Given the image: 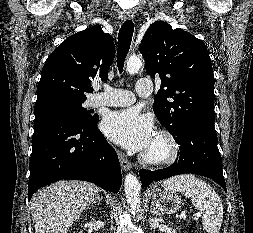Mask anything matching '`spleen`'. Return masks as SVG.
<instances>
[{
    "label": "spleen",
    "instance_id": "1",
    "mask_svg": "<svg viewBox=\"0 0 253 233\" xmlns=\"http://www.w3.org/2000/svg\"><path fill=\"white\" fill-rule=\"evenodd\" d=\"M162 186L190 198L192 204L203 213V228L208 233H219L223 220V205L209 184L192 174H184L166 180Z\"/></svg>",
    "mask_w": 253,
    "mask_h": 233
}]
</instances>
